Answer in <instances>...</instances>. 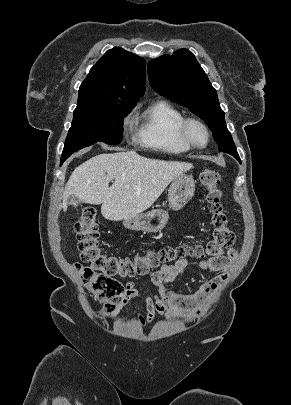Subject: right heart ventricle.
<instances>
[{"label": "right heart ventricle", "mask_w": 291, "mask_h": 405, "mask_svg": "<svg viewBox=\"0 0 291 405\" xmlns=\"http://www.w3.org/2000/svg\"><path fill=\"white\" fill-rule=\"evenodd\" d=\"M183 114L170 103H152L138 118L137 140L149 149L168 154H182L191 150L178 136Z\"/></svg>", "instance_id": "e07e8e85"}]
</instances>
